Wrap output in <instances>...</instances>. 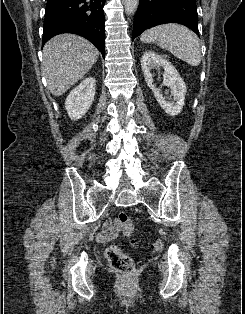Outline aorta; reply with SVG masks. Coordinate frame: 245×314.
<instances>
[{"label":"aorta","instance_id":"obj_1","mask_svg":"<svg viewBox=\"0 0 245 314\" xmlns=\"http://www.w3.org/2000/svg\"><path fill=\"white\" fill-rule=\"evenodd\" d=\"M139 0H124L125 13L133 15L138 8Z\"/></svg>","mask_w":245,"mask_h":314}]
</instances>
